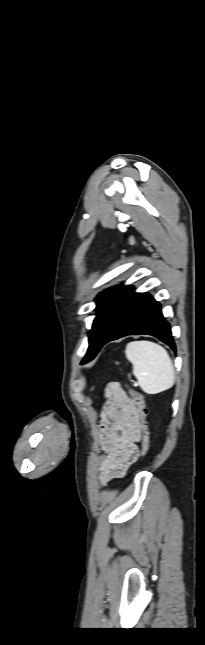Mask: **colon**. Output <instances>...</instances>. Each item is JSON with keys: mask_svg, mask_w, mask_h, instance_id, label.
<instances>
[{"mask_svg": "<svg viewBox=\"0 0 205 645\" xmlns=\"http://www.w3.org/2000/svg\"><path fill=\"white\" fill-rule=\"evenodd\" d=\"M111 387L114 389H121V386L119 383H113L111 384ZM127 390L129 391L131 395V400L136 408L137 414H138V419H139V425H140V430H141V457H145L149 451V446H150V437H149V431H148V426L146 422V406H145V401L143 396L138 393L136 390L133 388L125 385Z\"/></svg>", "mask_w": 205, "mask_h": 645, "instance_id": "5ec220e1", "label": "colon"}]
</instances>
